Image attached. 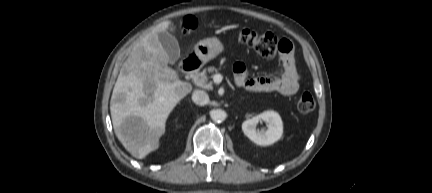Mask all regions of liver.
Here are the masks:
<instances>
[{"label": "liver", "instance_id": "obj_1", "mask_svg": "<svg viewBox=\"0 0 432 193\" xmlns=\"http://www.w3.org/2000/svg\"><path fill=\"white\" fill-rule=\"evenodd\" d=\"M168 29L175 30L173 23L161 22L133 48L121 68L110 101L115 134L138 159L159 147L169 114L192 89L168 67V54L157 35ZM130 118L139 122L130 135H125L121 126Z\"/></svg>", "mask_w": 432, "mask_h": 193}]
</instances>
